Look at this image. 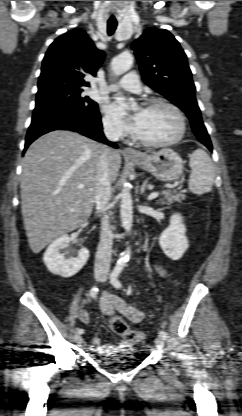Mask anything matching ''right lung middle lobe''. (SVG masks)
Here are the masks:
<instances>
[{
    "label": "right lung middle lobe",
    "instance_id": "dd1d6c3e",
    "mask_svg": "<svg viewBox=\"0 0 242 416\" xmlns=\"http://www.w3.org/2000/svg\"><path fill=\"white\" fill-rule=\"evenodd\" d=\"M82 91L83 89L62 88L50 94L37 96L34 112L49 107L68 109L81 115L98 111L97 103L88 96H83Z\"/></svg>",
    "mask_w": 242,
    "mask_h": 416
}]
</instances>
